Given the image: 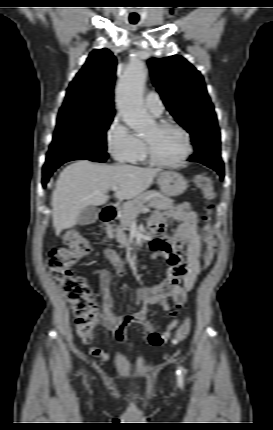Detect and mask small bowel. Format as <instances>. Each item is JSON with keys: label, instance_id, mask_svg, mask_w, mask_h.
Returning a JSON list of instances; mask_svg holds the SVG:
<instances>
[{"label": "small bowel", "instance_id": "obj_1", "mask_svg": "<svg viewBox=\"0 0 273 430\" xmlns=\"http://www.w3.org/2000/svg\"><path fill=\"white\" fill-rule=\"evenodd\" d=\"M168 221L178 222L171 234L166 232ZM198 216L188 202H182L176 207L157 211L153 214L149 228L156 238L151 243L154 251L153 258L162 256L168 265L167 278L153 288L141 287L137 290L135 304L137 310L131 314L117 316L114 314V301L110 295L111 274L105 269H98L95 275L98 279L101 296L100 324L115 332L118 341L131 346L126 330L133 323L140 324L145 329L144 342L152 346H160L171 336L173 330H179L183 323H179L177 312L171 309L169 298L176 308L181 307L188 292L195 286L200 273L201 238L197 227ZM106 256L113 262L118 277L125 274V266L121 258L112 249L105 250ZM141 269L145 267L140 266ZM157 306L171 317L162 333H157L152 321L148 318L151 307ZM90 353L108 361V353L101 347H91Z\"/></svg>", "mask_w": 273, "mask_h": 430}]
</instances>
